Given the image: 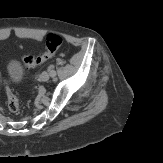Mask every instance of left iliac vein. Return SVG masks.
<instances>
[{
	"label": "left iliac vein",
	"instance_id": "4c4485c4",
	"mask_svg": "<svg viewBox=\"0 0 163 163\" xmlns=\"http://www.w3.org/2000/svg\"><path fill=\"white\" fill-rule=\"evenodd\" d=\"M50 78V75L47 71H43L40 75V79L44 82L48 81Z\"/></svg>",
	"mask_w": 163,
	"mask_h": 163
}]
</instances>
